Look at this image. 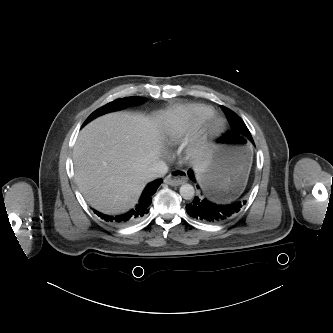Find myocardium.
Here are the masks:
<instances>
[{"instance_id":"f54148a6","label":"myocardium","mask_w":333,"mask_h":333,"mask_svg":"<svg viewBox=\"0 0 333 333\" xmlns=\"http://www.w3.org/2000/svg\"><path fill=\"white\" fill-rule=\"evenodd\" d=\"M224 129V119L215 114L199 121L187 148L188 157L194 159L205 158L209 154L214 141L222 135Z\"/></svg>"}]
</instances>
